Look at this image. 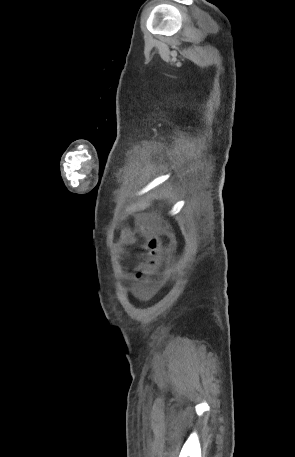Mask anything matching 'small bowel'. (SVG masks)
Here are the masks:
<instances>
[{
    "label": "small bowel",
    "mask_w": 295,
    "mask_h": 457,
    "mask_svg": "<svg viewBox=\"0 0 295 457\" xmlns=\"http://www.w3.org/2000/svg\"><path fill=\"white\" fill-rule=\"evenodd\" d=\"M120 243H121L122 247L133 244L134 243L133 234L127 229L123 230L121 233ZM153 291H154L153 288H144L143 289V293L145 295H150L151 293H153Z\"/></svg>",
    "instance_id": "c3829d8e"
}]
</instances>
